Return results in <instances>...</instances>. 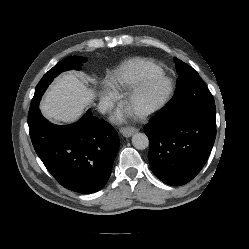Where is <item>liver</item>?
Returning <instances> with one entry per match:
<instances>
[{"instance_id":"6515ba94","label":"liver","mask_w":249,"mask_h":249,"mask_svg":"<svg viewBox=\"0 0 249 249\" xmlns=\"http://www.w3.org/2000/svg\"><path fill=\"white\" fill-rule=\"evenodd\" d=\"M96 97V92L88 88L75 75L68 73L55 80L41 102L43 115L54 121L71 123L83 114L85 108Z\"/></svg>"}]
</instances>
